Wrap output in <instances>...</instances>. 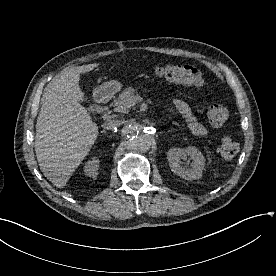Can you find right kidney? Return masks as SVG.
<instances>
[{"label": "right kidney", "instance_id": "ca27d5eb", "mask_svg": "<svg viewBox=\"0 0 276 276\" xmlns=\"http://www.w3.org/2000/svg\"><path fill=\"white\" fill-rule=\"evenodd\" d=\"M98 168H99V160L96 158H93L92 160H89L85 166H84V172L87 176L95 178L98 174Z\"/></svg>", "mask_w": 276, "mask_h": 276}]
</instances>
